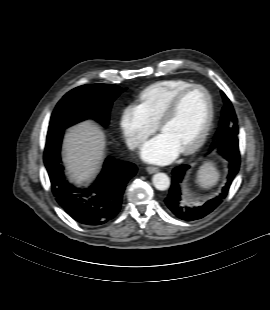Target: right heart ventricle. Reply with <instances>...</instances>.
Returning <instances> with one entry per match:
<instances>
[{
	"label": "right heart ventricle",
	"instance_id": "right-heart-ventricle-1",
	"mask_svg": "<svg viewBox=\"0 0 270 310\" xmlns=\"http://www.w3.org/2000/svg\"><path fill=\"white\" fill-rule=\"evenodd\" d=\"M189 85L184 80H163L151 84L140 92V105L155 124L172 97Z\"/></svg>",
	"mask_w": 270,
	"mask_h": 310
}]
</instances>
